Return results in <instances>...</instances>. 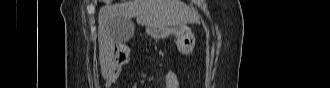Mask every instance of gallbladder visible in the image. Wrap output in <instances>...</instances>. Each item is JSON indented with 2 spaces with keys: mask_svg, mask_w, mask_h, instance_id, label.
<instances>
[{
  "mask_svg": "<svg viewBox=\"0 0 330 88\" xmlns=\"http://www.w3.org/2000/svg\"><path fill=\"white\" fill-rule=\"evenodd\" d=\"M115 32L118 36V43H123L129 41L134 34V24L130 21H123L121 23H116Z\"/></svg>",
  "mask_w": 330,
  "mask_h": 88,
  "instance_id": "bac80fb5",
  "label": "gallbladder"
}]
</instances>
